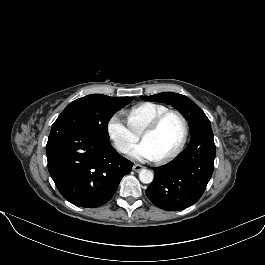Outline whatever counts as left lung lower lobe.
Returning a JSON list of instances; mask_svg holds the SVG:
<instances>
[{"label":"left lung lower lobe","mask_w":265,"mask_h":265,"mask_svg":"<svg viewBox=\"0 0 265 265\" xmlns=\"http://www.w3.org/2000/svg\"><path fill=\"white\" fill-rule=\"evenodd\" d=\"M215 144L211 126L191 134L185 150L171 163L154 168V180L146 190L152 203L167 211L183 210L203 195L212 176Z\"/></svg>","instance_id":"left-lung-lower-lobe-1"}]
</instances>
